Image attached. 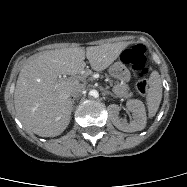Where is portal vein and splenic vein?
Returning <instances> with one entry per match:
<instances>
[{
    "label": "portal vein and splenic vein",
    "mask_w": 187,
    "mask_h": 187,
    "mask_svg": "<svg viewBox=\"0 0 187 187\" xmlns=\"http://www.w3.org/2000/svg\"><path fill=\"white\" fill-rule=\"evenodd\" d=\"M60 78L65 79V78H66V76H65V75H64V76H60Z\"/></svg>",
    "instance_id": "portal-vein-and-splenic-vein-1"
}]
</instances>
